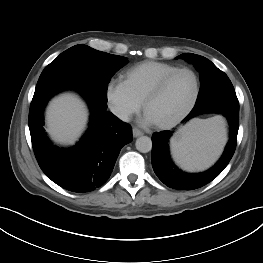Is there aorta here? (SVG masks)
Here are the masks:
<instances>
[{
  "instance_id": "762f6f07",
  "label": "aorta",
  "mask_w": 263,
  "mask_h": 263,
  "mask_svg": "<svg viewBox=\"0 0 263 263\" xmlns=\"http://www.w3.org/2000/svg\"><path fill=\"white\" fill-rule=\"evenodd\" d=\"M135 146L139 152L147 153L152 149V140L147 136H141L137 138Z\"/></svg>"
}]
</instances>
